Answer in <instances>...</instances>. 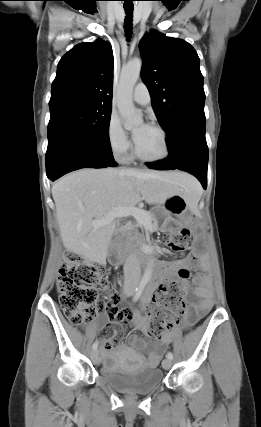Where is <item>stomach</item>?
Returning a JSON list of instances; mask_svg holds the SVG:
<instances>
[{"label": "stomach", "instance_id": "0dacf381", "mask_svg": "<svg viewBox=\"0 0 261 427\" xmlns=\"http://www.w3.org/2000/svg\"><path fill=\"white\" fill-rule=\"evenodd\" d=\"M188 206L189 203L183 194H174L160 204L155 214L157 217H159L161 213L178 216L185 213L188 210Z\"/></svg>", "mask_w": 261, "mask_h": 427}]
</instances>
